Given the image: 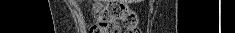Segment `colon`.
Segmentation results:
<instances>
[{
    "instance_id": "obj_1",
    "label": "colon",
    "mask_w": 235,
    "mask_h": 33,
    "mask_svg": "<svg viewBox=\"0 0 235 33\" xmlns=\"http://www.w3.org/2000/svg\"><path fill=\"white\" fill-rule=\"evenodd\" d=\"M119 22L125 28V33H139L138 17L134 11L118 1H111L102 8L97 21L89 28V33H120Z\"/></svg>"
}]
</instances>
